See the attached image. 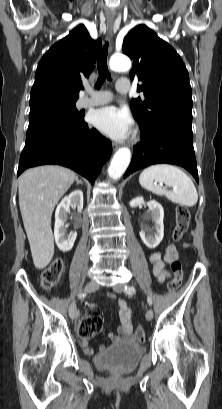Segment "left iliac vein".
Segmentation results:
<instances>
[{
    "instance_id": "left-iliac-vein-1",
    "label": "left iliac vein",
    "mask_w": 222,
    "mask_h": 409,
    "mask_svg": "<svg viewBox=\"0 0 222 409\" xmlns=\"http://www.w3.org/2000/svg\"><path fill=\"white\" fill-rule=\"evenodd\" d=\"M113 290L116 293H122L124 291V285L122 283H118L113 287ZM145 317L148 321L152 320L153 318V311L151 309H148L146 311Z\"/></svg>"
}]
</instances>
